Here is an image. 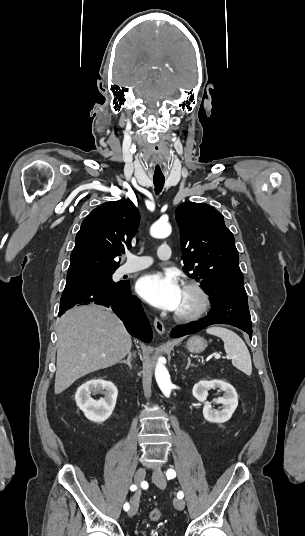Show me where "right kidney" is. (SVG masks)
<instances>
[{"instance_id": "ca27d5eb", "label": "right kidney", "mask_w": 305, "mask_h": 536, "mask_svg": "<svg viewBox=\"0 0 305 536\" xmlns=\"http://www.w3.org/2000/svg\"><path fill=\"white\" fill-rule=\"evenodd\" d=\"M91 392L94 394H104L105 398L93 400L90 398ZM118 390L112 382H107L103 378H94L88 380L82 386H79L75 400L78 408L84 412L88 420L92 422H105L110 418L116 404Z\"/></svg>"}]
</instances>
